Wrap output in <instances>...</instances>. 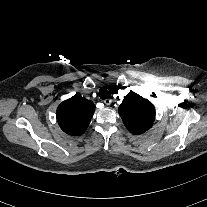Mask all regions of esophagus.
<instances>
[{
  "instance_id": "34e87169",
  "label": "esophagus",
  "mask_w": 207,
  "mask_h": 207,
  "mask_svg": "<svg viewBox=\"0 0 207 207\" xmlns=\"http://www.w3.org/2000/svg\"><path fill=\"white\" fill-rule=\"evenodd\" d=\"M106 105H110L112 103V100L107 98L103 101Z\"/></svg>"
}]
</instances>
